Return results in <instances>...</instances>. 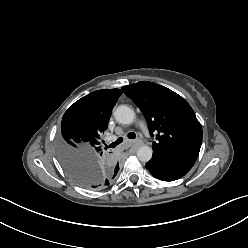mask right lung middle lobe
Listing matches in <instances>:
<instances>
[{
  "instance_id": "right-lung-middle-lobe-1",
  "label": "right lung middle lobe",
  "mask_w": 248,
  "mask_h": 248,
  "mask_svg": "<svg viewBox=\"0 0 248 248\" xmlns=\"http://www.w3.org/2000/svg\"><path fill=\"white\" fill-rule=\"evenodd\" d=\"M63 140L62 134L58 140V154L63 168L75 183L85 188L97 189L109 184L110 174L93 160L74 153L66 158L63 155Z\"/></svg>"
}]
</instances>
